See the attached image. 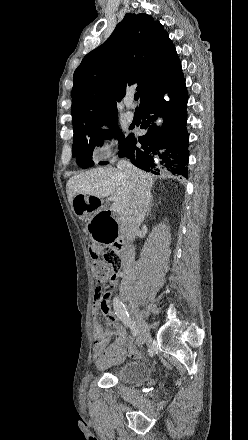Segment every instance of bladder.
I'll list each match as a JSON object with an SVG mask.
<instances>
[{"mask_svg":"<svg viewBox=\"0 0 248 440\" xmlns=\"http://www.w3.org/2000/svg\"><path fill=\"white\" fill-rule=\"evenodd\" d=\"M150 376V367L140 361L126 362L112 371V377L124 385L141 383L149 379Z\"/></svg>","mask_w":248,"mask_h":440,"instance_id":"obj_1","label":"bladder"}]
</instances>
